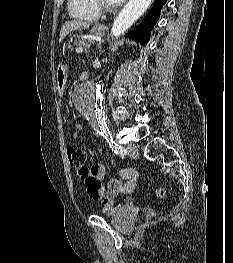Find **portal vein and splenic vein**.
I'll use <instances>...</instances> for the list:
<instances>
[{
	"label": "portal vein and splenic vein",
	"instance_id": "obj_1",
	"mask_svg": "<svg viewBox=\"0 0 233 263\" xmlns=\"http://www.w3.org/2000/svg\"><path fill=\"white\" fill-rule=\"evenodd\" d=\"M76 51H77L78 53H81V52H83V49H82V48H78Z\"/></svg>",
	"mask_w": 233,
	"mask_h": 263
}]
</instances>
